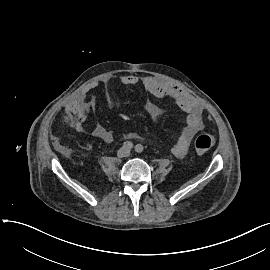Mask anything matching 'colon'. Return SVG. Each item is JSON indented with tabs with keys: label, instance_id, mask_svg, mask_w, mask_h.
I'll use <instances>...</instances> for the list:
<instances>
[{
	"label": "colon",
	"instance_id": "5ec220e1",
	"mask_svg": "<svg viewBox=\"0 0 270 270\" xmlns=\"http://www.w3.org/2000/svg\"><path fill=\"white\" fill-rule=\"evenodd\" d=\"M195 148L199 153L209 151L214 145V139L209 134H200L195 138Z\"/></svg>",
	"mask_w": 270,
	"mask_h": 270
}]
</instances>
